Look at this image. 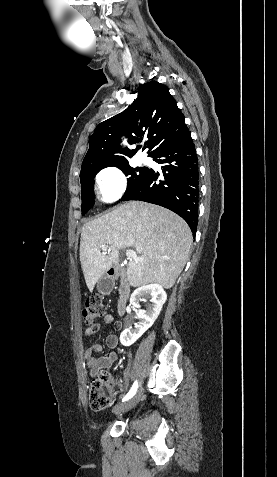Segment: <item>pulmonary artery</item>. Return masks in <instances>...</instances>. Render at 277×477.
<instances>
[{
  "label": "pulmonary artery",
  "instance_id": "1",
  "mask_svg": "<svg viewBox=\"0 0 277 477\" xmlns=\"http://www.w3.org/2000/svg\"><path fill=\"white\" fill-rule=\"evenodd\" d=\"M139 161H140L141 163H145V162L147 161V159H146L145 157H141V158L139 159Z\"/></svg>",
  "mask_w": 277,
  "mask_h": 477
}]
</instances>
